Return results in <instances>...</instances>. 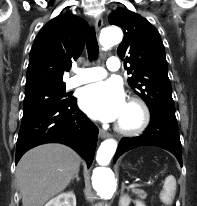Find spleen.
<instances>
[{"instance_id": "obj_1", "label": "spleen", "mask_w": 197, "mask_h": 206, "mask_svg": "<svg viewBox=\"0 0 197 206\" xmlns=\"http://www.w3.org/2000/svg\"><path fill=\"white\" fill-rule=\"evenodd\" d=\"M176 192V179L173 175H169L164 180L163 190L160 193V200L170 205L174 199Z\"/></svg>"}]
</instances>
